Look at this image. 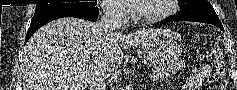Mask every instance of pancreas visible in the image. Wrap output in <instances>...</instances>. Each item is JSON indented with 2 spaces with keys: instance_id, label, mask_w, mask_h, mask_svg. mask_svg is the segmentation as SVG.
<instances>
[{
  "instance_id": "cf45deb5",
  "label": "pancreas",
  "mask_w": 237,
  "mask_h": 90,
  "mask_svg": "<svg viewBox=\"0 0 237 90\" xmlns=\"http://www.w3.org/2000/svg\"><path fill=\"white\" fill-rule=\"evenodd\" d=\"M183 64L182 62H177V64H163V67H154L152 72H160L159 76L161 80H165V78H170L172 74H176V72H180ZM153 78V76H150Z\"/></svg>"
}]
</instances>
